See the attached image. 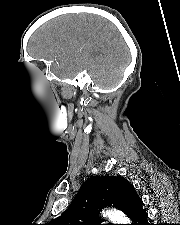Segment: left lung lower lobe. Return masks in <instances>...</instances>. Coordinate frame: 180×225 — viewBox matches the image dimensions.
<instances>
[{
    "label": "left lung lower lobe",
    "mask_w": 180,
    "mask_h": 225,
    "mask_svg": "<svg viewBox=\"0 0 180 225\" xmlns=\"http://www.w3.org/2000/svg\"><path fill=\"white\" fill-rule=\"evenodd\" d=\"M148 214L143 210L139 209L131 217V225H150L147 222Z\"/></svg>",
    "instance_id": "1"
}]
</instances>
